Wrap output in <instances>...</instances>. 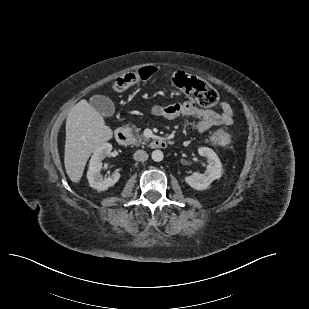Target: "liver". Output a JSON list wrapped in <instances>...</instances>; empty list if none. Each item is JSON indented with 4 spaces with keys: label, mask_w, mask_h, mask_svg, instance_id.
I'll use <instances>...</instances> for the list:
<instances>
[{
    "label": "liver",
    "mask_w": 309,
    "mask_h": 309,
    "mask_svg": "<svg viewBox=\"0 0 309 309\" xmlns=\"http://www.w3.org/2000/svg\"><path fill=\"white\" fill-rule=\"evenodd\" d=\"M112 136L111 128L86 100L71 108L66 120L64 164L72 182L81 180L90 155Z\"/></svg>",
    "instance_id": "1"
}]
</instances>
